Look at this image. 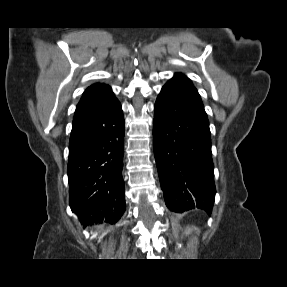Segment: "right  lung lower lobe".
<instances>
[{
  "label": "right lung lower lobe",
  "instance_id": "obj_1",
  "mask_svg": "<svg viewBox=\"0 0 287 287\" xmlns=\"http://www.w3.org/2000/svg\"><path fill=\"white\" fill-rule=\"evenodd\" d=\"M124 117L116 99L74 116L69 142V203L80 222L115 223L125 211Z\"/></svg>",
  "mask_w": 287,
  "mask_h": 287
}]
</instances>
